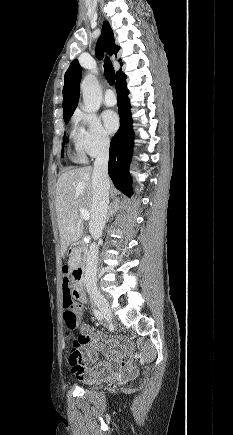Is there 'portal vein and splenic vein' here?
Listing matches in <instances>:
<instances>
[{"label":"portal vein and splenic vein","mask_w":233,"mask_h":435,"mask_svg":"<svg viewBox=\"0 0 233 435\" xmlns=\"http://www.w3.org/2000/svg\"><path fill=\"white\" fill-rule=\"evenodd\" d=\"M80 214L83 220H89L90 214L86 209L80 208Z\"/></svg>","instance_id":"portal-vein-and-splenic-vein-1"}]
</instances>
